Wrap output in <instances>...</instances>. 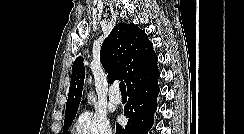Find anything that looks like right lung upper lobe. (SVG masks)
<instances>
[{
	"mask_svg": "<svg viewBox=\"0 0 244 134\" xmlns=\"http://www.w3.org/2000/svg\"><path fill=\"white\" fill-rule=\"evenodd\" d=\"M100 61L108 73V81H125L127 89L159 74L157 55L145 31L135 24L118 23L104 40ZM85 68L82 57L72 66L65 118L76 115L81 101Z\"/></svg>",
	"mask_w": 244,
	"mask_h": 134,
	"instance_id": "obj_1",
	"label": "right lung upper lobe"
}]
</instances>
